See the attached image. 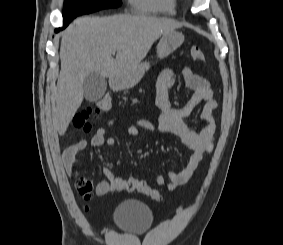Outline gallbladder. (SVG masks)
Listing matches in <instances>:
<instances>
[{"label": "gallbladder", "mask_w": 283, "mask_h": 245, "mask_svg": "<svg viewBox=\"0 0 283 245\" xmlns=\"http://www.w3.org/2000/svg\"><path fill=\"white\" fill-rule=\"evenodd\" d=\"M107 82L98 72L88 74L83 82L84 97L87 101L96 102L100 100L106 91Z\"/></svg>", "instance_id": "obj_1"}]
</instances>
